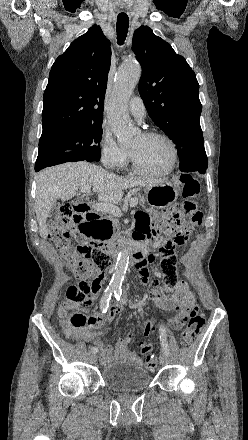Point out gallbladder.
Masks as SVG:
<instances>
[{"instance_id":"obj_1","label":"gallbladder","mask_w":248,"mask_h":440,"mask_svg":"<svg viewBox=\"0 0 248 440\" xmlns=\"http://www.w3.org/2000/svg\"><path fill=\"white\" fill-rule=\"evenodd\" d=\"M60 208V203H56L53 205V207L51 208V211L49 213V216L54 215Z\"/></svg>"}]
</instances>
